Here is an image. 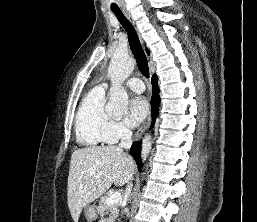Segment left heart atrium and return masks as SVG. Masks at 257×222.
I'll return each instance as SVG.
<instances>
[{
    "instance_id": "39dd6f15",
    "label": "left heart atrium",
    "mask_w": 257,
    "mask_h": 222,
    "mask_svg": "<svg viewBox=\"0 0 257 222\" xmlns=\"http://www.w3.org/2000/svg\"><path fill=\"white\" fill-rule=\"evenodd\" d=\"M149 105L147 100L142 96H137L129 104V121L131 126L139 125L147 116Z\"/></svg>"
}]
</instances>
